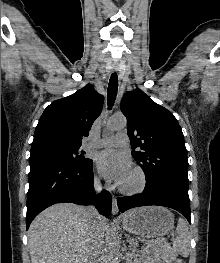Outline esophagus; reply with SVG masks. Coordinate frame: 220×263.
I'll list each match as a JSON object with an SVG mask.
<instances>
[{"mask_svg": "<svg viewBox=\"0 0 220 263\" xmlns=\"http://www.w3.org/2000/svg\"><path fill=\"white\" fill-rule=\"evenodd\" d=\"M113 72H117L118 71V67L116 65L113 66L112 68ZM119 212L118 209V204H117V199L116 197L113 195L112 196V214L113 215H117Z\"/></svg>", "mask_w": 220, "mask_h": 263, "instance_id": "34e87169", "label": "esophagus"}]
</instances>
